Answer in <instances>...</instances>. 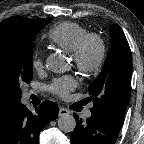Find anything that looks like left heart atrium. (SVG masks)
Here are the masks:
<instances>
[{"mask_svg":"<svg viewBox=\"0 0 144 144\" xmlns=\"http://www.w3.org/2000/svg\"><path fill=\"white\" fill-rule=\"evenodd\" d=\"M74 87L75 80L72 77H65L55 80L51 84L50 89L55 95L64 98Z\"/></svg>","mask_w":144,"mask_h":144,"instance_id":"obj_1","label":"left heart atrium"}]
</instances>
